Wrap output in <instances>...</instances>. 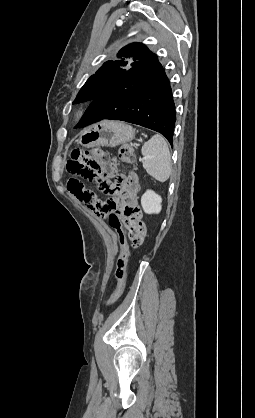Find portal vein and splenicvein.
Instances as JSON below:
<instances>
[{
  "mask_svg": "<svg viewBox=\"0 0 255 418\" xmlns=\"http://www.w3.org/2000/svg\"><path fill=\"white\" fill-rule=\"evenodd\" d=\"M139 161H140V162H143V161H144V159L140 158V159H139Z\"/></svg>",
  "mask_w": 255,
  "mask_h": 418,
  "instance_id": "18ae733b",
  "label": "portal vein and splenic vein"
}]
</instances>
